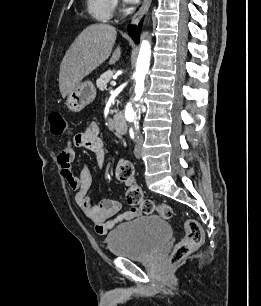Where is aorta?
Listing matches in <instances>:
<instances>
[{
	"label": "aorta",
	"instance_id": "aorta-1",
	"mask_svg": "<svg viewBox=\"0 0 261 306\" xmlns=\"http://www.w3.org/2000/svg\"><path fill=\"white\" fill-rule=\"evenodd\" d=\"M151 47L147 40H143L140 46V51L137 59L136 71L134 78L136 81L135 95L130 98L125 108V119L130 123H136L137 110L136 106L144 92V80L150 66Z\"/></svg>",
	"mask_w": 261,
	"mask_h": 306
}]
</instances>
